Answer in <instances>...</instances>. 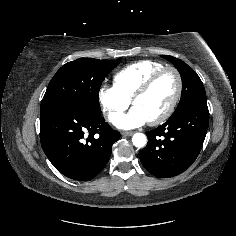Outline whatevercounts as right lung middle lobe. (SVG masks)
Instances as JSON below:
<instances>
[{
    "instance_id": "dd1d6c3e",
    "label": "right lung middle lobe",
    "mask_w": 236,
    "mask_h": 236,
    "mask_svg": "<svg viewBox=\"0 0 236 236\" xmlns=\"http://www.w3.org/2000/svg\"><path fill=\"white\" fill-rule=\"evenodd\" d=\"M121 61L81 58L63 65L50 81L40 112L62 103L101 114L99 90L106 75Z\"/></svg>"
}]
</instances>
